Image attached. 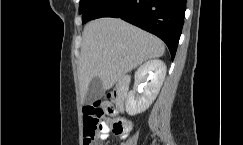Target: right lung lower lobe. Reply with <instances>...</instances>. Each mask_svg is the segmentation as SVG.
<instances>
[{
  "mask_svg": "<svg viewBox=\"0 0 243 145\" xmlns=\"http://www.w3.org/2000/svg\"><path fill=\"white\" fill-rule=\"evenodd\" d=\"M186 0H94L82 22L100 17L121 18L161 38L175 56L182 32Z\"/></svg>",
  "mask_w": 243,
  "mask_h": 145,
  "instance_id": "98d812e1",
  "label": "right lung lower lobe"
}]
</instances>
